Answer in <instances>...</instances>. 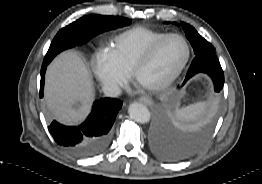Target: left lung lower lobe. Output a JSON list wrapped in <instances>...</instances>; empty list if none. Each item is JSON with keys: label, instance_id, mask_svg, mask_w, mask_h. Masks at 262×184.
<instances>
[{"label": "left lung lower lobe", "instance_id": "0a47b994", "mask_svg": "<svg viewBox=\"0 0 262 184\" xmlns=\"http://www.w3.org/2000/svg\"><path fill=\"white\" fill-rule=\"evenodd\" d=\"M207 73L213 81L221 86L215 87L216 92L223 88L224 73L215 54V51H208L196 55L188 70V80L197 73ZM190 76V77H189ZM209 132L203 131L194 135L181 136L175 132L170 122L164 115L157 111L149 130V143L152 151L159 158L176 162L195 155L207 143Z\"/></svg>", "mask_w": 262, "mask_h": 184}]
</instances>
